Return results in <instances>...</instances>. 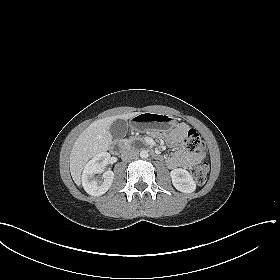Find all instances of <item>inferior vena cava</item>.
Segmentation results:
<instances>
[{"mask_svg":"<svg viewBox=\"0 0 280 280\" xmlns=\"http://www.w3.org/2000/svg\"><path fill=\"white\" fill-rule=\"evenodd\" d=\"M137 157H138V151L135 149H127L123 151V153L121 154V158L124 161L134 160Z\"/></svg>","mask_w":280,"mask_h":280,"instance_id":"inferior-vena-cava-1","label":"inferior vena cava"}]
</instances>
